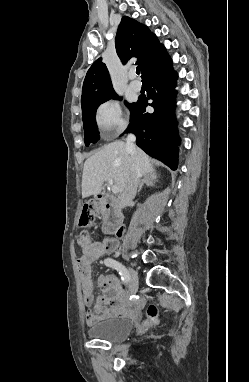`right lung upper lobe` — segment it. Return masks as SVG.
Segmentation results:
<instances>
[{
    "label": "right lung upper lobe",
    "instance_id": "1",
    "mask_svg": "<svg viewBox=\"0 0 249 382\" xmlns=\"http://www.w3.org/2000/svg\"><path fill=\"white\" fill-rule=\"evenodd\" d=\"M115 45L121 61L125 64L131 57H136V64L144 74L150 65L166 54L164 46L147 26L127 16L122 18L118 27ZM115 95L108 70L99 58L89 68L83 83L82 110L94 100Z\"/></svg>",
    "mask_w": 249,
    "mask_h": 382
}]
</instances>
